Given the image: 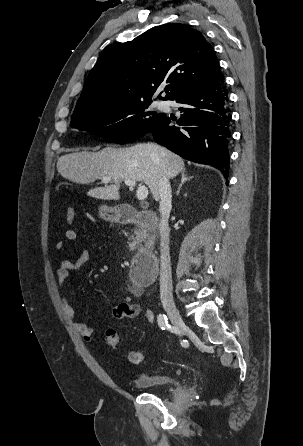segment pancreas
Listing matches in <instances>:
<instances>
[{
	"mask_svg": "<svg viewBox=\"0 0 303 446\" xmlns=\"http://www.w3.org/2000/svg\"><path fill=\"white\" fill-rule=\"evenodd\" d=\"M153 236H149V234L145 233L141 229L134 230V233L130 236L128 243L130 250L134 251L137 249H151L153 244ZM142 242L145 243V248L140 247Z\"/></svg>",
	"mask_w": 303,
	"mask_h": 446,
	"instance_id": "obj_1",
	"label": "pancreas"
}]
</instances>
